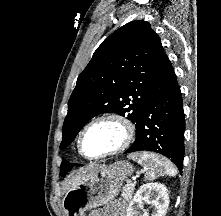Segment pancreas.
Masks as SVG:
<instances>
[{"label":"pancreas","mask_w":221,"mask_h":216,"mask_svg":"<svg viewBox=\"0 0 221 216\" xmlns=\"http://www.w3.org/2000/svg\"><path fill=\"white\" fill-rule=\"evenodd\" d=\"M134 188H135V185L130 182L125 187H123V191L121 194L123 199H125L126 201H130L132 198Z\"/></svg>","instance_id":"cf45deb5"}]
</instances>
